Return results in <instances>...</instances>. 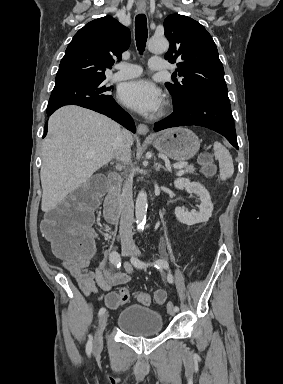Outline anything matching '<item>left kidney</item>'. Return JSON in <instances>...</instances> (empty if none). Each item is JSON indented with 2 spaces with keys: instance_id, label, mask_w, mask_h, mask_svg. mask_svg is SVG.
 Returning a JSON list of instances; mask_svg holds the SVG:
<instances>
[{
  "instance_id": "obj_1",
  "label": "left kidney",
  "mask_w": 283,
  "mask_h": 384,
  "mask_svg": "<svg viewBox=\"0 0 283 384\" xmlns=\"http://www.w3.org/2000/svg\"><path fill=\"white\" fill-rule=\"evenodd\" d=\"M175 188L178 190H186L188 194H196L201 200L199 212H184L183 208H175V216L182 224L193 226V224H200V222H208L212 216L213 204L211 202L210 194L202 184L199 182H190L187 178H177L174 182Z\"/></svg>"
}]
</instances>
